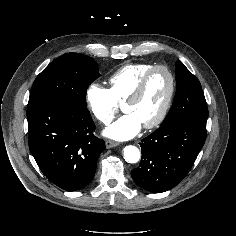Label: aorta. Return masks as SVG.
<instances>
[{"label": "aorta", "mask_w": 236, "mask_h": 236, "mask_svg": "<svg viewBox=\"0 0 236 236\" xmlns=\"http://www.w3.org/2000/svg\"><path fill=\"white\" fill-rule=\"evenodd\" d=\"M124 159L128 163H137L140 160L141 153L136 146L129 145L123 149Z\"/></svg>", "instance_id": "obj_1"}]
</instances>
